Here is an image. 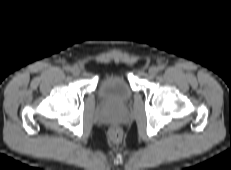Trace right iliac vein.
<instances>
[{"instance_id": "1", "label": "right iliac vein", "mask_w": 231, "mask_h": 170, "mask_svg": "<svg viewBox=\"0 0 231 170\" xmlns=\"http://www.w3.org/2000/svg\"><path fill=\"white\" fill-rule=\"evenodd\" d=\"M71 72L73 75L77 76L80 74V69L77 66L72 67Z\"/></svg>"}]
</instances>
